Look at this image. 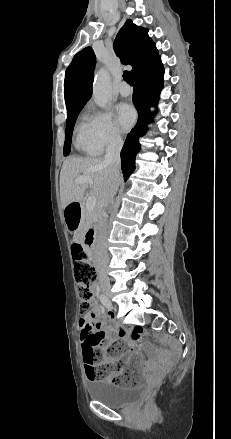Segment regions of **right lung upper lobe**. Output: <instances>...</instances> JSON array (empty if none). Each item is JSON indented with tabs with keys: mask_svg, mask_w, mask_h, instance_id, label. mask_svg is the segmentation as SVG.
Masks as SVG:
<instances>
[{
	"mask_svg": "<svg viewBox=\"0 0 231 439\" xmlns=\"http://www.w3.org/2000/svg\"><path fill=\"white\" fill-rule=\"evenodd\" d=\"M123 64H130L133 77L152 65L160 56L148 30L127 20L113 44ZM96 56L91 47L78 52L65 73L64 97L67 110L85 105L92 95Z\"/></svg>",
	"mask_w": 231,
	"mask_h": 439,
	"instance_id": "right-lung-upper-lobe-1",
	"label": "right lung upper lobe"
}]
</instances>
